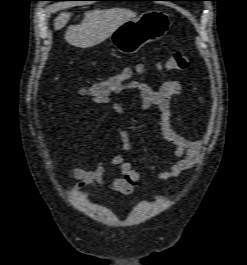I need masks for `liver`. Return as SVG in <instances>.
<instances>
[{"mask_svg": "<svg viewBox=\"0 0 247 265\" xmlns=\"http://www.w3.org/2000/svg\"><path fill=\"white\" fill-rule=\"evenodd\" d=\"M136 13L124 8L96 9L87 11L79 25H71L65 32V40L72 46L89 48L105 41ZM71 13L61 12L54 21L55 30L62 29L70 20Z\"/></svg>", "mask_w": 247, "mask_h": 265, "instance_id": "1", "label": "liver"}]
</instances>
